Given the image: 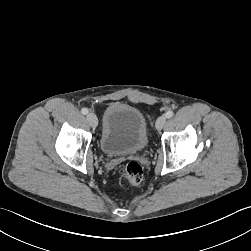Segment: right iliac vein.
Segmentation results:
<instances>
[{
    "label": "right iliac vein",
    "instance_id": "right-iliac-vein-1",
    "mask_svg": "<svg viewBox=\"0 0 251 251\" xmlns=\"http://www.w3.org/2000/svg\"><path fill=\"white\" fill-rule=\"evenodd\" d=\"M86 118L91 127H97L98 119L94 113H89Z\"/></svg>",
    "mask_w": 251,
    "mask_h": 251
}]
</instances>
